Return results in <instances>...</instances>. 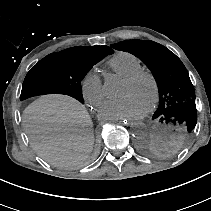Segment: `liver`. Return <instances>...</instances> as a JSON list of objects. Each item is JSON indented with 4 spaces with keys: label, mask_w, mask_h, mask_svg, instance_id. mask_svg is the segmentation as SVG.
<instances>
[{
    "label": "liver",
    "mask_w": 211,
    "mask_h": 211,
    "mask_svg": "<svg viewBox=\"0 0 211 211\" xmlns=\"http://www.w3.org/2000/svg\"><path fill=\"white\" fill-rule=\"evenodd\" d=\"M22 120L34 150L52 164L76 166L92 148L90 116L70 97H41L25 109Z\"/></svg>",
    "instance_id": "liver-1"
}]
</instances>
